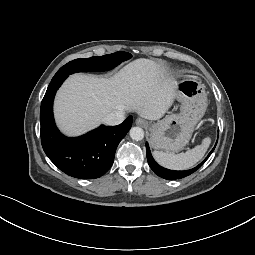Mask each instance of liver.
Returning a JSON list of instances; mask_svg holds the SVG:
<instances>
[{
  "mask_svg": "<svg viewBox=\"0 0 255 255\" xmlns=\"http://www.w3.org/2000/svg\"><path fill=\"white\" fill-rule=\"evenodd\" d=\"M177 82L162 64L137 59L111 78L75 74L55 99V117L61 130L80 135L97 127L114 112L135 111L148 120L160 119L176 98Z\"/></svg>",
  "mask_w": 255,
  "mask_h": 255,
  "instance_id": "6515ba94",
  "label": "liver"
}]
</instances>
